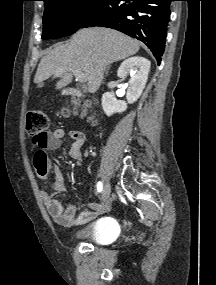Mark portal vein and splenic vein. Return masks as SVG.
Segmentation results:
<instances>
[{"label": "portal vein and splenic vein", "instance_id": "1", "mask_svg": "<svg viewBox=\"0 0 216 285\" xmlns=\"http://www.w3.org/2000/svg\"><path fill=\"white\" fill-rule=\"evenodd\" d=\"M62 74V72H58L55 75L56 76H60ZM74 76L76 77V79L80 82V83H84L87 81V77L86 74L80 72V71H75L74 72Z\"/></svg>", "mask_w": 216, "mask_h": 285}]
</instances>
